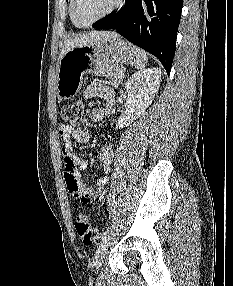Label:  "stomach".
I'll return each instance as SVG.
<instances>
[{
	"label": "stomach",
	"mask_w": 233,
	"mask_h": 286,
	"mask_svg": "<svg viewBox=\"0 0 233 286\" xmlns=\"http://www.w3.org/2000/svg\"><path fill=\"white\" fill-rule=\"evenodd\" d=\"M135 58L134 47L119 36L74 47L58 61L57 95L60 99H71L81 89L85 74L95 73L105 66L133 63Z\"/></svg>",
	"instance_id": "0dacf381"
}]
</instances>
